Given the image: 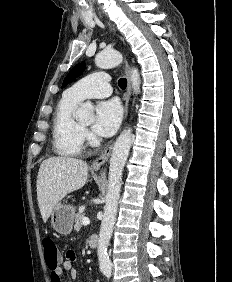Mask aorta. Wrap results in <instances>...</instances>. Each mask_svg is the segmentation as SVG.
Wrapping results in <instances>:
<instances>
[{"label": "aorta", "instance_id": "762f6f07", "mask_svg": "<svg viewBox=\"0 0 232 282\" xmlns=\"http://www.w3.org/2000/svg\"><path fill=\"white\" fill-rule=\"evenodd\" d=\"M122 54L116 50H103L96 55L95 63L99 68L107 69L118 66L122 62ZM131 82L135 93L140 88V75L136 68L131 70ZM77 117L82 120H93V107L85 103L78 109ZM132 132L130 128L122 131L118 136L110 158L108 190L105 199L104 214L101 222L97 255L100 271L110 274L112 263L107 253L113 226L116 219L118 201L120 198L123 169L130 151Z\"/></svg>", "mask_w": 232, "mask_h": 282}]
</instances>
